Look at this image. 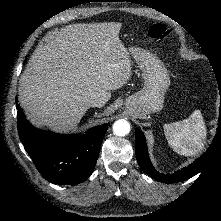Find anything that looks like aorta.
I'll return each instance as SVG.
<instances>
[{
  "label": "aorta",
  "instance_id": "762f6f07",
  "mask_svg": "<svg viewBox=\"0 0 221 221\" xmlns=\"http://www.w3.org/2000/svg\"><path fill=\"white\" fill-rule=\"evenodd\" d=\"M113 131L117 136H125L130 132V124L124 119L117 120L113 125Z\"/></svg>",
  "mask_w": 221,
  "mask_h": 221
}]
</instances>
